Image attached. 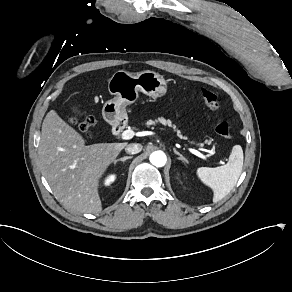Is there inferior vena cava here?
Here are the masks:
<instances>
[{
    "instance_id": "1",
    "label": "inferior vena cava",
    "mask_w": 292,
    "mask_h": 292,
    "mask_svg": "<svg viewBox=\"0 0 292 292\" xmlns=\"http://www.w3.org/2000/svg\"><path fill=\"white\" fill-rule=\"evenodd\" d=\"M141 150H142V145L138 143H131L125 148V151L128 154H137L141 152Z\"/></svg>"
}]
</instances>
